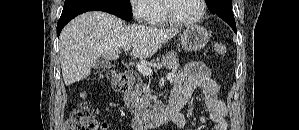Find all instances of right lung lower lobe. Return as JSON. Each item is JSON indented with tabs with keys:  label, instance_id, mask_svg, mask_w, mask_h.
Listing matches in <instances>:
<instances>
[{
	"label": "right lung lower lobe",
	"instance_id": "obj_1",
	"mask_svg": "<svg viewBox=\"0 0 299 130\" xmlns=\"http://www.w3.org/2000/svg\"><path fill=\"white\" fill-rule=\"evenodd\" d=\"M93 10L108 12L124 20H130L132 18L131 8L112 0H66L61 17L57 23L58 37L62 28L71 19L81 13Z\"/></svg>",
	"mask_w": 299,
	"mask_h": 130
}]
</instances>
